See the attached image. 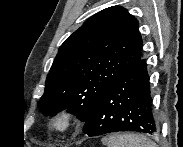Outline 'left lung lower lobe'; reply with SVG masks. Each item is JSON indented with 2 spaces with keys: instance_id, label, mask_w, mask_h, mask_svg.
<instances>
[{
  "instance_id": "1",
  "label": "left lung lower lobe",
  "mask_w": 183,
  "mask_h": 147,
  "mask_svg": "<svg viewBox=\"0 0 183 147\" xmlns=\"http://www.w3.org/2000/svg\"><path fill=\"white\" fill-rule=\"evenodd\" d=\"M83 131L88 136L118 131L158 134L144 59L138 60L107 88L85 121Z\"/></svg>"
}]
</instances>
